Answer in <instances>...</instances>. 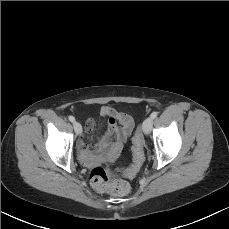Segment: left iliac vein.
Here are the masks:
<instances>
[{"instance_id":"obj_1","label":"left iliac vein","mask_w":229,"mask_h":229,"mask_svg":"<svg viewBox=\"0 0 229 229\" xmlns=\"http://www.w3.org/2000/svg\"><path fill=\"white\" fill-rule=\"evenodd\" d=\"M152 124H153V119L151 117L145 119L142 125V130L144 134L148 135L151 132Z\"/></svg>"}]
</instances>
